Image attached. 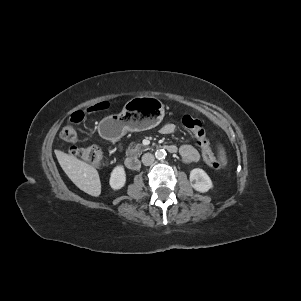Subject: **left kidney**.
<instances>
[{
  "instance_id": "left-kidney-1",
  "label": "left kidney",
  "mask_w": 301,
  "mask_h": 301,
  "mask_svg": "<svg viewBox=\"0 0 301 301\" xmlns=\"http://www.w3.org/2000/svg\"><path fill=\"white\" fill-rule=\"evenodd\" d=\"M189 178L191 186L198 192L205 193L213 188L210 177L200 168L191 170Z\"/></svg>"
}]
</instances>
